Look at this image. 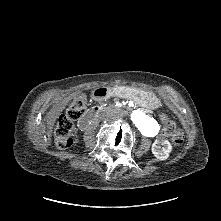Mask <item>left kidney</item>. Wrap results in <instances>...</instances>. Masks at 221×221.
Listing matches in <instances>:
<instances>
[{
    "label": "left kidney",
    "instance_id": "5707ae66",
    "mask_svg": "<svg viewBox=\"0 0 221 221\" xmlns=\"http://www.w3.org/2000/svg\"><path fill=\"white\" fill-rule=\"evenodd\" d=\"M152 153L159 160H166L172 151V146L167 139H157L152 145Z\"/></svg>",
    "mask_w": 221,
    "mask_h": 221
}]
</instances>
